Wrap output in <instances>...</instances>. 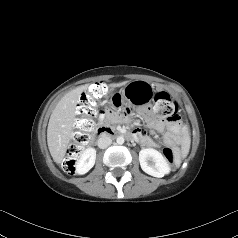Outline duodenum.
Listing matches in <instances>:
<instances>
[{
    "label": "duodenum",
    "mask_w": 238,
    "mask_h": 238,
    "mask_svg": "<svg viewBox=\"0 0 238 238\" xmlns=\"http://www.w3.org/2000/svg\"><path fill=\"white\" fill-rule=\"evenodd\" d=\"M96 135L98 137H106V136H115V135H123L129 139H136V134L135 133H120L112 130L109 127L106 126H100L96 130Z\"/></svg>",
    "instance_id": "410a0bca"
}]
</instances>
